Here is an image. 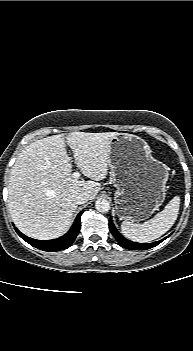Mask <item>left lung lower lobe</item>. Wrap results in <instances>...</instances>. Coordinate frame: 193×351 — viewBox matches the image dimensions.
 I'll use <instances>...</instances> for the list:
<instances>
[{"label":"left lung lower lobe","mask_w":193,"mask_h":351,"mask_svg":"<svg viewBox=\"0 0 193 351\" xmlns=\"http://www.w3.org/2000/svg\"><path fill=\"white\" fill-rule=\"evenodd\" d=\"M109 229L111 231V233L113 234V236L115 237V239L118 241L119 245L123 248L129 249V250H147L150 249L152 247L157 246L159 243H161L163 240H165L166 238L154 242V243H148V244H142V243H135L132 241L127 240L126 238H124L115 228L113 222H112V218L109 219Z\"/></svg>","instance_id":"0a47b994"}]
</instances>
